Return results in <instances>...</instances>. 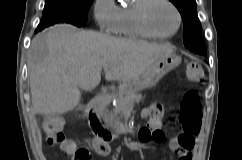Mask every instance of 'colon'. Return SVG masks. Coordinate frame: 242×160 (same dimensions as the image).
<instances>
[{
    "label": "colon",
    "mask_w": 242,
    "mask_h": 160,
    "mask_svg": "<svg viewBox=\"0 0 242 160\" xmlns=\"http://www.w3.org/2000/svg\"><path fill=\"white\" fill-rule=\"evenodd\" d=\"M186 76L193 82H201L203 80V69L201 64L198 62H190L186 68ZM201 113L202 107L197 92L194 90L187 91L181 101V111L179 114V122L183 128L182 134H198L200 130ZM155 117L158 118L159 113H156ZM64 124L65 121L62 118L51 116L45 118L42 127L46 134L47 144L59 147L68 154L65 150L69 147V141L65 139L62 133ZM141 135L146 139L158 142L163 139L164 133L161 129L154 131L145 129ZM95 149L101 155H107L109 153V147L104 142H96ZM73 160H91V156L87 151L78 150L74 154Z\"/></svg>",
    "instance_id": "5ec220e1"
}]
</instances>
